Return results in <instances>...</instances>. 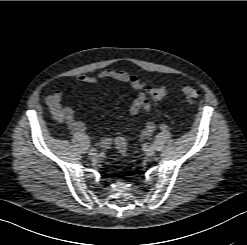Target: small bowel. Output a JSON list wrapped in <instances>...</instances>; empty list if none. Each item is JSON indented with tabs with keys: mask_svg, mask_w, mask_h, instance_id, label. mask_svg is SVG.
Segmentation results:
<instances>
[{
	"mask_svg": "<svg viewBox=\"0 0 247 245\" xmlns=\"http://www.w3.org/2000/svg\"><path fill=\"white\" fill-rule=\"evenodd\" d=\"M101 80H115L122 82L131 86L137 92V96L129 108V114L131 116H136L141 111L145 114L150 113L151 104L146 96V91L150 88V86L147 82L141 80L139 77L130 72L115 68H106L96 75L83 74L77 78V81L82 84H96ZM62 99L63 93L60 90H55L47 97L46 103L50 109V112L56 120L64 123L73 133H84L86 130L85 124L75 118L74 111L71 107L63 106ZM154 131L155 123L153 120L147 119L145 121L144 128L139 135V139L145 140L149 138ZM110 145L111 139L108 137H105L100 141V146L103 149H107Z\"/></svg>",
	"mask_w": 247,
	"mask_h": 245,
	"instance_id": "c3829d8e",
	"label": "small bowel"
}]
</instances>
